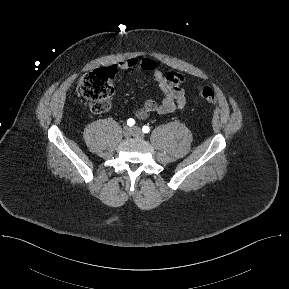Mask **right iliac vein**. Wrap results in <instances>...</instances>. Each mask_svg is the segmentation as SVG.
Listing matches in <instances>:
<instances>
[{
  "label": "right iliac vein",
  "mask_w": 289,
  "mask_h": 289,
  "mask_svg": "<svg viewBox=\"0 0 289 289\" xmlns=\"http://www.w3.org/2000/svg\"><path fill=\"white\" fill-rule=\"evenodd\" d=\"M133 134L132 128L126 126L123 128V135L125 137H130Z\"/></svg>",
  "instance_id": "right-iliac-vein-1"
}]
</instances>
